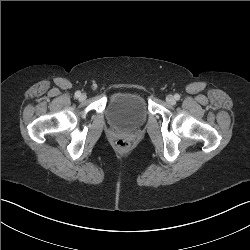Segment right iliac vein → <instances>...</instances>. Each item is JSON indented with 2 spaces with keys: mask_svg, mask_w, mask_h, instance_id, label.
I'll return each mask as SVG.
<instances>
[{
  "mask_svg": "<svg viewBox=\"0 0 250 250\" xmlns=\"http://www.w3.org/2000/svg\"><path fill=\"white\" fill-rule=\"evenodd\" d=\"M86 99V95L85 94H81L80 95V100H85Z\"/></svg>",
  "mask_w": 250,
  "mask_h": 250,
  "instance_id": "right-iliac-vein-1",
  "label": "right iliac vein"
}]
</instances>
